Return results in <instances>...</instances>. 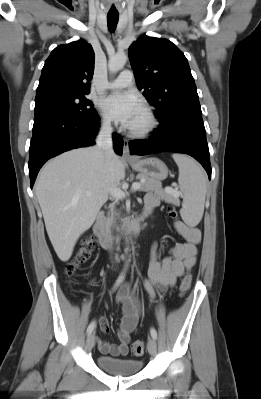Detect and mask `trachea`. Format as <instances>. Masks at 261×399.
<instances>
[{"mask_svg": "<svg viewBox=\"0 0 261 399\" xmlns=\"http://www.w3.org/2000/svg\"><path fill=\"white\" fill-rule=\"evenodd\" d=\"M119 19V14H109L107 15V23H108V28L111 32H113L117 26Z\"/></svg>", "mask_w": 261, "mask_h": 399, "instance_id": "1", "label": "trachea"}]
</instances>
